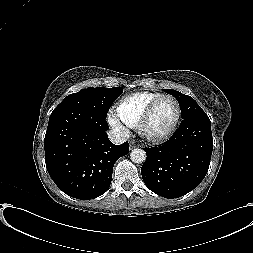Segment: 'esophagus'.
<instances>
[{
	"label": "esophagus",
	"mask_w": 253,
	"mask_h": 253,
	"mask_svg": "<svg viewBox=\"0 0 253 253\" xmlns=\"http://www.w3.org/2000/svg\"><path fill=\"white\" fill-rule=\"evenodd\" d=\"M139 147V145H137L134 141H130L129 142V148L132 150V149H135Z\"/></svg>",
	"instance_id": "1"
}]
</instances>
